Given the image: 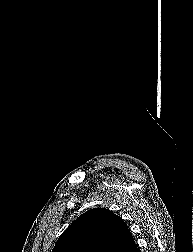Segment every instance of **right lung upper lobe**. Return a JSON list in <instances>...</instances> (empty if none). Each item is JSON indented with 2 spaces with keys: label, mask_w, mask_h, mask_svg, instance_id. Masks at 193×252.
Here are the masks:
<instances>
[{
  "label": "right lung upper lobe",
  "mask_w": 193,
  "mask_h": 252,
  "mask_svg": "<svg viewBox=\"0 0 193 252\" xmlns=\"http://www.w3.org/2000/svg\"><path fill=\"white\" fill-rule=\"evenodd\" d=\"M136 248L130 229L119 216L94 208L61 234L52 252H134Z\"/></svg>",
  "instance_id": "obj_1"
}]
</instances>
